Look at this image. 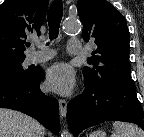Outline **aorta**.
Listing matches in <instances>:
<instances>
[{
    "instance_id": "obj_1",
    "label": "aorta",
    "mask_w": 144,
    "mask_h": 137,
    "mask_svg": "<svg viewBox=\"0 0 144 137\" xmlns=\"http://www.w3.org/2000/svg\"><path fill=\"white\" fill-rule=\"evenodd\" d=\"M63 31L67 33H76L81 29V23L76 19H66L62 25ZM61 137H71L67 130H63Z\"/></svg>"
}]
</instances>
